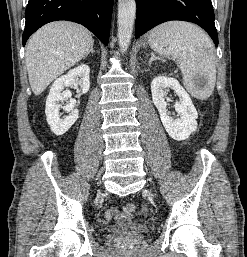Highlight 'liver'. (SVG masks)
Returning <instances> with one entry per match:
<instances>
[{"instance_id": "obj_1", "label": "liver", "mask_w": 247, "mask_h": 257, "mask_svg": "<svg viewBox=\"0 0 247 257\" xmlns=\"http://www.w3.org/2000/svg\"><path fill=\"white\" fill-rule=\"evenodd\" d=\"M94 40L90 31L70 21L51 22L36 31L27 44L26 66L35 95L78 63Z\"/></svg>"}]
</instances>
